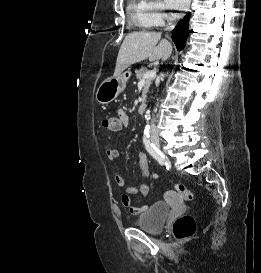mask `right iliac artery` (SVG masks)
Returning a JSON list of instances; mask_svg holds the SVG:
<instances>
[{"label": "right iliac artery", "instance_id": "1", "mask_svg": "<svg viewBox=\"0 0 261 273\" xmlns=\"http://www.w3.org/2000/svg\"><path fill=\"white\" fill-rule=\"evenodd\" d=\"M143 143L145 145L146 150L149 154L158 161L160 165L164 164V156L163 154L154 146V144L150 141L149 130L146 129L144 131Z\"/></svg>", "mask_w": 261, "mask_h": 273}]
</instances>
